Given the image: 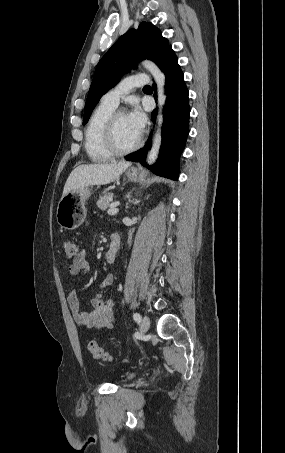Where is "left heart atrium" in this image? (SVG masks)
Instances as JSON below:
<instances>
[{"mask_svg": "<svg viewBox=\"0 0 285 453\" xmlns=\"http://www.w3.org/2000/svg\"><path fill=\"white\" fill-rule=\"evenodd\" d=\"M128 118L137 132L141 135L146 124V116L142 109L139 106H134V108L128 114Z\"/></svg>", "mask_w": 285, "mask_h": 453, "instance_id": "39dd6f15", "label": "left heart atrium"}]
</instances>
